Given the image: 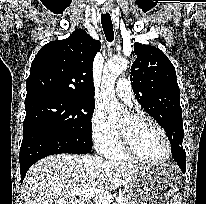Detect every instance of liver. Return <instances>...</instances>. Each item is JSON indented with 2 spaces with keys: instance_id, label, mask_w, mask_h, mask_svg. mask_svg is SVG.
I'll list each match as a JSON object with an SVG mask.
<instances>
[{
  "instance_id": "liver-1",
  "label": "liver",
  "mask_w": 206,
  "mask_h": 204,
  "mask_svg": "<svg viewBox=\"0 0 206 204\" xmlns=\"http://www.w3.org/2000/svg\"><path fill=\"white\" fill-rule=\"evenodd\" d=\"M142 169L99 156L51 155L28 170L23 182L25 204H81L68 192L81 187L112 191L128 185Z\"/></svg>"
}]
</instances>
